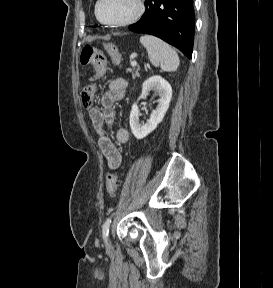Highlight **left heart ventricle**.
Here are the masks:
<instances>
[{"mask_svg":"<svg viewBox=\"0 0 273 288\" xmlns=\"http://www.w3.org/2000/svg\"><path fill=\"white\" fill-rule=\"evenodd\" d=\"M136 9V0H103L100 16L107 22H114L130 17Z\"/></svg>","mask_w":273,"mask_h":288,"instance_id":"b2bd125f","label":"left heart ventricle"}]
</instances>
